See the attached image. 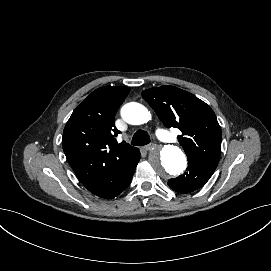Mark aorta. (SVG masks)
<instances>
[{
	"instance_id": "aorta-1",
	"label": "aorta",
	"mask_w": 271,
	"mask_h": 271,
	"mask_svg": "<svg viewBox=\"0 0 271 271\" xmlns=\"http://www.w3.org/2000/svg\"><path fill=\"white\" fill-rule=\"evenodd\" d=\"M122 118L129 124L140 125L151 119V114L142 104L131 102L121 109ZM149 161L154 171L164 177L170 178L181 174L187 166L184 152L173 145H166L162 149H155L150 153Z\"/></svg>"
}]
</instances>
